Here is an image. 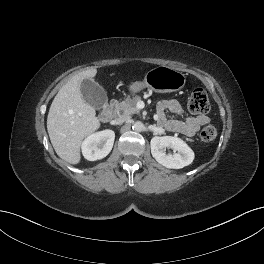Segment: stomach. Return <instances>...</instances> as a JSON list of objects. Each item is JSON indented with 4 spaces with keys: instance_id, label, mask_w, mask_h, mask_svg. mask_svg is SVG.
<instances>
[{
    "instance_id": "obj_1",
    "label": "stomach",
    "mask_w": 264,
    "mask_h": 264,
    "mask_svg": "<svg viewBox=\"0 0 264 264\" xmlns=\"http://www.w3.org/2000/svg\"><path fill=\"white\" fill-rule=\"evenodd\" d=\"M186 76L168 66H158L145 74L143 81H136L128 86L130 93L135 94L148 88L157 93L175 92L184 87Z\"/></svg>"
}]
</instances>
